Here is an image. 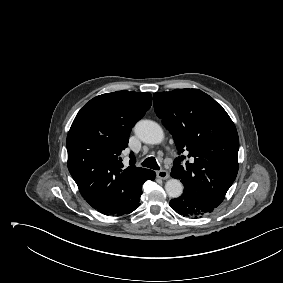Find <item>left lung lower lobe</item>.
Segmentation results:
<instances>
[{"label": "left lung lower lobe", "mask_w": 283, "mask_h": 283, "mask_svg": "<svg viewBox=\"0 0 283 283\" xmlns=\"http://www.w3.org/2000/svg\"><path fill=\"white\" fill-rule=\"evenodd\" d=\"M170 207L184 217H201L211 213L217 206L199 193L184 189L179 198L170 201Z\"/></svg>", "instance_id": "obj_1"}]
</instances>
